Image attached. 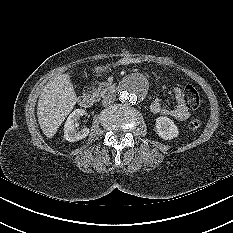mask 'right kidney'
<instances>
[{
    "mask_svg": "<svg viewBox=\"0 0 233 233\" xmlns=\"http://www.w3.org/2000/svg\"><path fill=\"white\" fill-rule=\"evenodd\" d=\"M85 110L83 109H76L74 110L69 117L67 118L65 125H64V138L69 142L79 141L86 136H88L90 130L89 128L80 129L77 128V123L81 116H83Z\"/></svg>",
    "mask_w": 233,
    "mask_h": 233,
    "instance_id": "1",
    "label": "right kidney"
}]
</instances>
